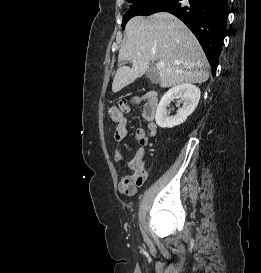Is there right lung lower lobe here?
Returning a JSON list of instances; mask_svg holds the SVG:
<instances>
[{
  "label": "right lung lower lobe",
  "mask_w": 261,
  "mask_h": 273,
  "mask_svg": "<svg viewBox=\"0 0 261 273\" xmlns=\"http://www.w3.org/2000/svg\"><path fill=\"white\" fill-rule=\"evenodd\" d=\"M163 11L178 17L194 33L215 76L225 37L228 0H156L144 6L140 15Z\"/></svg>",
  "instance_id": "1"
}]
</instances>
